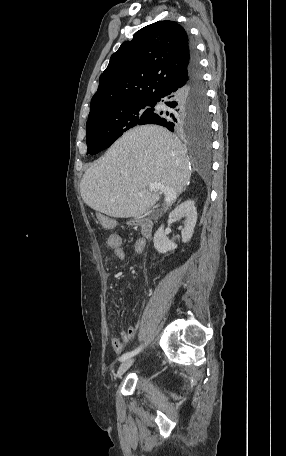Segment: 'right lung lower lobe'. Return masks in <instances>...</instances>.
<instances>
[{
  "label": "right lung lower lobe",
  "instance_id": "98d812e1",
  "mask_svg": "<svg viewBox=\"0 0 286 456\" xmlns=\"http://www.w3.org/2000/svg\"><path fill=\"white\" fill-rule=\"evenodd\" d=\"M153 100L154 106L162 104L167 107V110H155L147 124L162 125L170 131L184 129L192 132L200 131L195 130V127L203 126L208 122V131L201 130L200 132L204 135L209 132L206 90L194 48L187 74L183 80Z\"/></svg>",
  "mask_w": 286,
  "mask_h": 456
}]
</instances>
